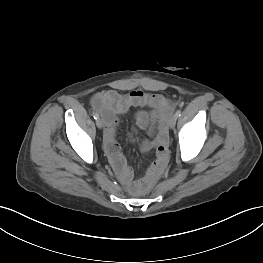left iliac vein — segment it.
Returning <instances> with one entry per match:
<instances>
[{"mask_svg": "<svg viewBox=\"0 0 263 263\" xmlns=\"http://www.w3.org/2000/svg\"><path fill=\"white\" fill-rule=\"evenodd\" d=\"M177 121L176 115H172L170 120H169V127L172 129L175 127Z\"/></svg>", "mask_w": 263, "mask_h": 263, "instance_id": "1", "label": "left iliac vein"}]
</instances>
